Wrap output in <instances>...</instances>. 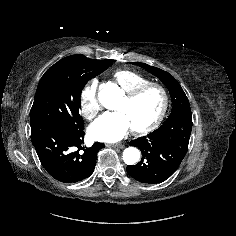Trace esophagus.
<instances>
[{
    "label": "esophagus",
    "instance_id": "1",
    "mask_svg": "<svg viewBox=\"0 0 236 236\" xmlns=\"http://www.w3.org/2000/svg\"><path fill=\"white\" fill-rule=\"evenodd\" d=\"M107 146H109V147H118V148H123L124 147V145L122 143L108 144Z\"/></svg>",
    "mask_w": 236,
    "mask_h": 236
}]
</instances>
